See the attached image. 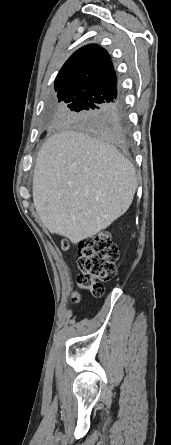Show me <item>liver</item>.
<instances>
[{
    "mask_svg": "<svg viewBox=\"0 0 171 445\" xmlns=\"http://www.w3.org/2000/svg\"><path fill=\"white\" fill-rule=\"evenodd\" d=\"M137 189L131 162L86 133L62 130L43 144L34 169L33 201L51 233L73 244L122 216Z\"/></svg>",
    "mask_w": 171,
    "mask_h": 445,
    "instance_id": "6515ba94",
    "label": "liver"
}]
</instances>
